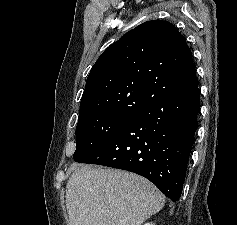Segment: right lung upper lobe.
<instances>
[{"instance_id":"obj_1","label":"right lung upper lobe","mask_w":237,"mask_h":225,"mask_svg":"<svg viewBox=\"0 0 237 225\" xmlns=\"http://www.w3.org/2000/svg\"><path fill=\"white\" fill-rule=\"evenodd\" d=\"M198 85L192 53L170 22L142 23L110 45L92 67L79 118L135 115Z\"/></svg>"}]
</instances>
